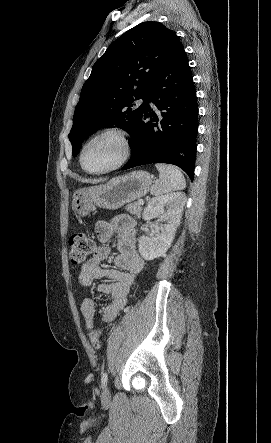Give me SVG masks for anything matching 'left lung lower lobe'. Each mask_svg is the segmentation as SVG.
<instances>
[{
  "label": "left lung lower lobe",
  "instance_id": "1",
  "mask_svg": "<svg viewBox=\"0 0 271 443\" xmlns=\"http://www.w3.org/2000/svg\"><path fill=\"white\" fill-rule=\"evenodd\" d=\"M153 102L158 115L150 108ZM142 119L130 139L126 170L150 163L179 166L194 178L198 105L193 76L180 44L156 72L146 95ZM147 118L148 122H144Z\"/></svg>",
  "mask_w": 271,
  "mask_h": 443
}]
</instances>
